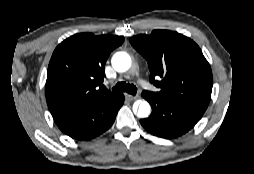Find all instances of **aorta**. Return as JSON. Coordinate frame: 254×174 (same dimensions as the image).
<instances>
[{
  "mask_svg": "<svg viewBox=\"0 0 254 174\" xmlns=\"http://www.w3.org/2000/svg\"><path fill=\"white\" fill-rule=\"evenodd\" d=\"M113 68L117 72H125L132 65L131 57L125 52H117L111 59ZM151 107L147 101H142L138 107L137 116L139 118H147L150 115Z\"/></svg>",
  "mask_w": 254,
  "mask_h": 174,
  "instance_id": "1",
  "label": "aorta"
}]
</instances>
